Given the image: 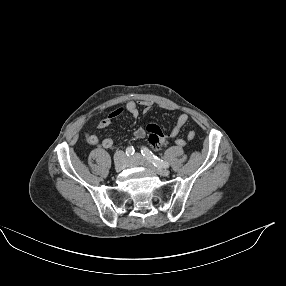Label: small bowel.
Returning <instances> with one entry per match:
<instances>
[{
	"label": "small bowel",
	"mask_w": 286,
	"mask_h": 286,
	"mask_svg": "<svg viewBox=\"0 0 286 286\" xmlns=\"http://www.w3.org/2000/svg\"><path fill=\"white\" fill-rule=\"evenodd\" d=\"M142 105L144 106L145 110H150L152 108V103L149 101H144L142 102ZM126 110L132 117V119L135 121L139 117V106L138 103L134 100H129L125 107H119L115 110H113L111 113H109L106 117L102 118L99 123L98 127L100 129L107 128L113 120L118 118L119 116L122 115V113ZM189 119V116L186 113H182L177 117L176 123L172 130L169 133V137L172 139H175V143L178 147H184L187 144V141L183 138H178L177 136L179 135L182 127L187 123ZM134 135L137 138H144L146 135V131L143 127H138L134 131ZM195 138V132L193 130L189 131L187 133V139L188 140H193ZM85 139L88 144L90 145H97L100 143V139L98 136L94 134H86ZM166 140L164 139L162 141V144H165ZM102 146L104 148H111L113 145V141L110 138H105L101 142Z\"/></svg>",
	"instance_id": "small-bowel-1"
}]
</instances>
